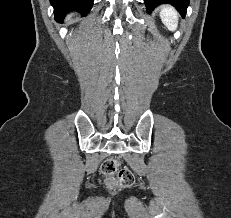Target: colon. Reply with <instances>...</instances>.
Returning a JSON list of instances; mask_svg holds the SVG:
<instances>
[{
  "mask_svg": "<svg viewBox=\"0 0 231 218\" xmlns=\"http://www.w3.org/2000/svg\"><path fill=\"white\" fill-rule=\"evenodd\" d=\"M104 183L109 187L126 188L134 184L133 172L126 167L120 168L117 158H108L103 161L100 167Z\"/></svg>",
  "mask_w": 231,
  "mask_h": 218,
  "instance_id": "5ec220e1",
  "label": "colon"
}]
</instances>
